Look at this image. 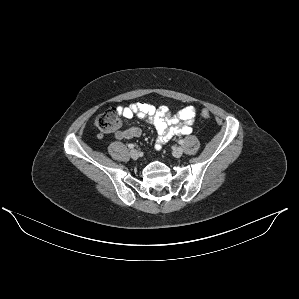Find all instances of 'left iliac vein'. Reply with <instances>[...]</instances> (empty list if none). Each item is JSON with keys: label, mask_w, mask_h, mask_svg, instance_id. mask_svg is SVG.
I'll return each instance as SVG.
<instances>
[{"label": "left iliac vein", "mask_w": 299, "mask_h": 299, "mask_svg": "<svg viewBox=\"0 0 299 299\" xmlns=\"http://www.w3.org/2000/svg\"><path fill=\"white\" fill-rule=\"evenodd\" d=\"M183 154V149L181 147H176L173 149V155L177 158L181 157Z\"/></svg>", "instance_id": "1"}]
</instances>
